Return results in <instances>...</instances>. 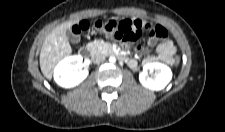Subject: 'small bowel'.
Masks as SVG:
<instances>
[{"mask_svg":"<svg viewBox=\"0 0 225 132\" xmlns=\"http://www.w3.org/2000/svg\"><path fill=\"white\" fill-rule=\"evenodd\" d=\"M114 22V24L116 25V27L122 31V32H126V31H134L137 28H142V30L144 29H153L154 26L150 21H143L140 19H123L120 21H112ZM161 27V26H159ZM163 28V27H161ZM164 29V28H163ZM156 43V39L154 38H149V46L153 47ZM138 50H141V48L139 47ZM176 47L174 45V43L165 38L158 46H157V55H154L150 52H148L147 55V60L148 61H155L156 59H160L161 61L165 62L166 64L172 65L175 64L174 63V59H175V54H176ZM129 65L131 67H135L136 66V61L134 59H130L129 60Z\"/></svg>","mask_w":225,"mask_h":132,"instance_id":"1","label":"small bowel"}]
</instances>
